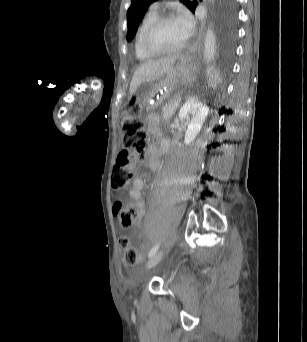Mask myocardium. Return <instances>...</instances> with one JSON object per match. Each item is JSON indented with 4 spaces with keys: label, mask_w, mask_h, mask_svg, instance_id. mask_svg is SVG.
Returning a JSON list of instances; mask_svg holds the SVG:
<instances>
[{
    "label": "myocardium",
    "mask_w": 307,
    "mask_h": 342,
    "mask_svg": "<svg viewBox=\"0 0 307 342\" xmlns=\"http://www.w3.org/2000/svg\"><path fill=\"white\" fill-rule=\"evenodd\" d=\"M164 22H178V18L173 15H158L154 19H152L148 25L146 26L142 37H141V48L142 50L151 57H164V56H172L182 53L187 47V41H185L180 47L167 51H158L151 47L150 39L153 35L154 31Z\"/></svg>",
    "instance_id": "f54148a6"
}]
</instances>
